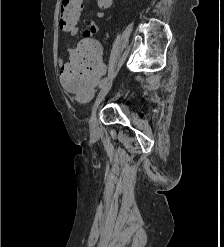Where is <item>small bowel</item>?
<instances>
[{"label": "small bowel", "mask_w": 224, "mask_h": 247, "mask_svg": "<svg viewBox=\"0 0 224 247\" xmlns=\"http://www.w3.org/2000/svg\"><path fill=\"white\" fill-rule=\"evenodd\" d=\"M96 16L102 18L104 13L102 11H97ZM98 32L99 28L93 22H90L88 24V28L83 32V41L93 39V35ZM67 33H69L71 36H75L78 33V26L72 27L69 31H67ZM62 62V59H60L59 63L61 64Z\"/></svg>", "instance_id": "obj_1"}]
</instances>
